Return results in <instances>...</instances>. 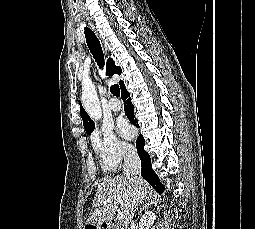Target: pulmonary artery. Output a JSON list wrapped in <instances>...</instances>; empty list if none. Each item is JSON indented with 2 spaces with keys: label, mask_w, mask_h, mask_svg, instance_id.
<instances>
[{
  "label": "pulmonary artery",
  "mask_w": 255,
  "mask_h": 229,
  "mask_svg": "<svg viewBox=\"0 0 255 229\" xmlns=\"http://www.w3.org/2000/svg\"><path fill=\"white\" fill-rule=\"evenodd\" d=\"M109 107L112 111L118 112L121 109V103L115 97L109 99Z\"/></svg>",
  "instance_id": "obj_1"
}]
</instances>
